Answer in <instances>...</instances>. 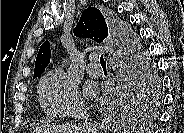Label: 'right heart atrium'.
Instances as JSON below:
<instances>
[{
    "mask_svg": "<svg viewBox=\"0 0 184 133\" xmlns=\"http://www.w3.org/2000/svg\"><path fill=\"white\" fill-rule=\"evenodd\" d=\"M38 93L44 111L53 117L65 118L84 110L76 84L60 68L41 79Z\"/></svg>",
    "mask_w": 184,
    "mask_h": 133,
    "instance_id": "1",
    "label": "right heart atrium"
}]
</instances>
